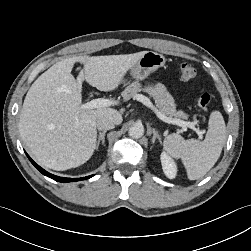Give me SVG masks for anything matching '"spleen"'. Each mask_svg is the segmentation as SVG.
<instances>
[{"mask_svg":"<svg viewBox=\"0 0 251 251\" xmlns=\"http://www.w3.org/2000/svg\"><path fill=\"white\" fill-rule=\"evenodd\" d=\"M226 137V125L220 111H212L208 131L203 141L185 140L173 133L163 141V148L171 157L181 159L188 178L196 180L204 176L220 157Z\"/></svg>","mask_w":251,"mask_h":251,"instance_id":"obj_1","label":"spleen"}]
</instances>
